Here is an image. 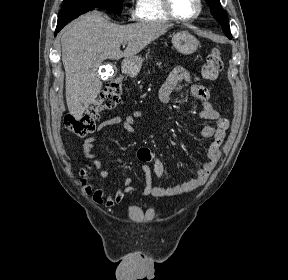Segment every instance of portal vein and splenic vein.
Masks as SVG:
<instances>
[{"label":"portal vein and splenic vein","instance_id":"portal-vein-and-splenic-vein-1","mask_svg":"<svg viewBox=\"0 0 288 280\" xmlns=\"http://www.w3.org/2000/svg\"><path fill=\"white\" fill-rule=\"evenodd\" d=\"M127 44V42H123V45H126Z\"/></svg>","mask_w":288,"mask_h":280}]
</instances>
